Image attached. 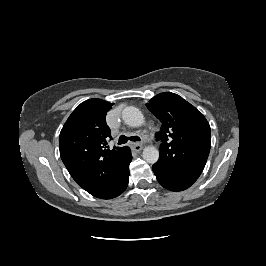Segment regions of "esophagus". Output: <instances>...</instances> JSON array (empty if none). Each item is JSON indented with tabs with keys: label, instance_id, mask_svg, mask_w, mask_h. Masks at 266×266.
Instances as JSON below:
<instances>
[{
	"label": "esophagus",
	"instance_id": "1",
	"mask_svg": "<svg viewBox=\"0 0 266 266\" xmlns=\"http://www.w3.org/2000/svg\"><path fill=\"white\" fill-rule=\"evenodd\" d=\"M132 148L134 151L139 152L142 150L143 145L140 143H132Z\"/></svg>",
	"mask_w": 266,
	"mask_h": 266
}]
</instances>
